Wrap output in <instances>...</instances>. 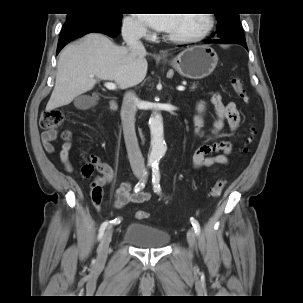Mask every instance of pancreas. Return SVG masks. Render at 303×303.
Wrapping results in <instances>:
<instances>
[{
  "label": "pancreas",
  "mask_w": 303,
  "mask_h": 303,
  "mask_svg": "<svg viewBox=\"0 0 303 303\" xmlns=\"http://www.w3.org/2000/svg\"><path fill=\"white\" fill-rule=\"evenodd\" d=\"M197 88V84L193 83L192 86H191V90H194Z\"/></svg>",
  "instance_id": "obj_1"
}]
</instances>
